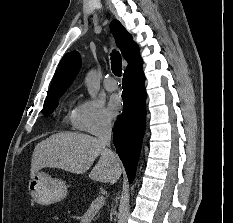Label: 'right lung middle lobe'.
Segmentation results:
<instances>
[{"label": "right lung middle lobe", "mask_w": 233, "mask_h": 223, "mask_svg": "<svg viewBox=\"0 0 233 223\" xmlns=\"http://www.w3.org/2000/svg\"><path fill=\"white\" fill-rule=\"evenodd\" d=\"M57 102L56 103H52V104H48V105H44L42 113L47 116L49 114H51L53 112V110L57 107Z\"/></svg>", "instance_id": "dd1d6c3e"}]
</instances>
